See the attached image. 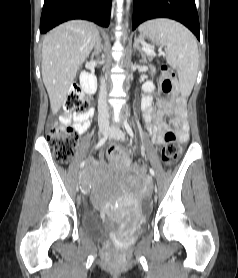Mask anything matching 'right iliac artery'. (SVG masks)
Instances as JSON below:
<instances>
[{"instance_id": "1", "label": "right iliac artery", "mask_w": 238, "mask_h": 278, "mask_svg": "<svg viewBox=\"0 0 238 278\" xmlns=\"http://www.w3.org/2000/svg\"><path fill=\"white\" fill-rule=\"evenodd\" d=\"M107 138L108 135H105L102 139H100V141L95 146V149H98L100 146H102L106 142ZM84 165H85V161H82L80 164V168L84 167Z\"/></svg>"}]
</instances>
